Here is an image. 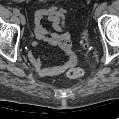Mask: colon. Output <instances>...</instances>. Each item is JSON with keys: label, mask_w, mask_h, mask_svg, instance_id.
Segmentation results:
<instances>
[{"label": "colon", "mask_w": 119, "mask_h": 119, "mask_svg": "<svg viewBox=\"0 0 119 119\" xmlns=\"http://www.w3.org/2000/svg\"><path fill=\"white\" fill-rule=\"evenodd\" d=\"M82 51L83 53H86L87 51V44L82 45ZM84 72L79 67H73L66 71L65 75L69 79H79L83 76Z\"/></svg>", "instance_id": "colon-1"}]
</instances>
